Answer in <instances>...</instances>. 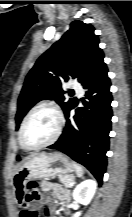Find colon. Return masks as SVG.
<instances>
[{
    "instance_id": "5ec220e1",
    "label": "colon",
    "mask_w": 132,
    "mask_h": 217,
    "mask_svg": "<svg viewBox=\"0 0 132 217\" xmlns=\"http://www.w3.org/2000/svg\"><path fill=\"white\" fill-rule=\"evenodd\" d=\"M24 198L28 203L36 202L40 199V191L36 182L31 181L28 183L26 190L24 191ZM27 217H36V212H29Z\"/></svg>"
}]
</instances>
